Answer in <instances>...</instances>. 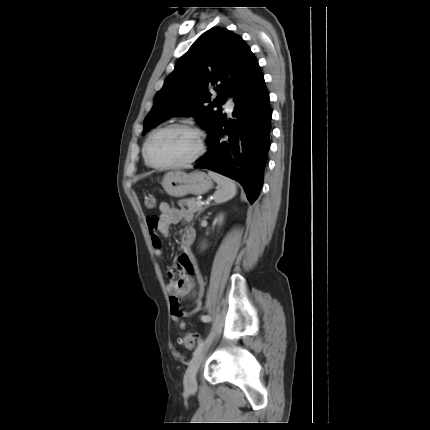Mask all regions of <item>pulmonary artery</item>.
Segmentation results:
<instances>
[{
    "mask_svg": "<svg viewBox=\"0 0 430 430\" xmlns=\"http://www.w3.org/2000/svg\"><path fill=\"white\" fill-rule=\"evenodd\" d=\"M226 107H227L228 111H231V110H232V108H233V102H232V99H228V100H227V102H226Z\"/></svg>",
    "mask_w": 430,
    "mask_h": 430,
    "instance_id": "obj_1",
    "label": "pulmonary artery"
}]
</instances>
